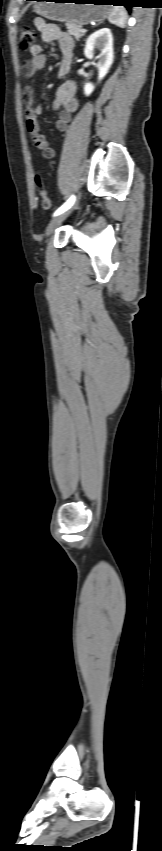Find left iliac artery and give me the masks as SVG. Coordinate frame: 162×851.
<instances>
[{"label":"left iliac artery","instance_id":"obj_1","mask_svg":"<svg viewBox=\"0 0 162 851\" xmlns=\"http://www.w3.org/2000/svg\"><path fill=\"white\" fill-rule=\"evenodd\" d=\"M75 202V196H71L59 209H57L54 213V216L60 215L61 213L68 210Z\"/></svg>","mask_w":162,"mask_h":851}]
</instances>
